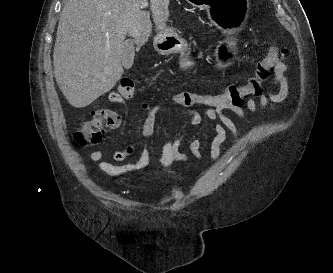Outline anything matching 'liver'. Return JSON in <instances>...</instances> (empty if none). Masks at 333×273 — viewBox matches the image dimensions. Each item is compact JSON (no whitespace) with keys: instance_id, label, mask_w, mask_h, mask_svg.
I'll return each mask as SVG.
<instances>
[{"instance_id":"liver-1","label":"liver","mask_w":333,"mask_h":273,"mask_svg":"<svg viewBox=\"0 0 333 273\" xmlns=\"http://www.w3.org/2000/svg\"><path fill=\"white\" fill-rule=\"evenodd\" d=\"M144 0H67L60 14L53 52L56 83L76 108L110 91L123 74L121 49L126 35L138 46L151 34ZM170 0H150L153 22L164 29Z\"/></svg>"}]
</instances>
